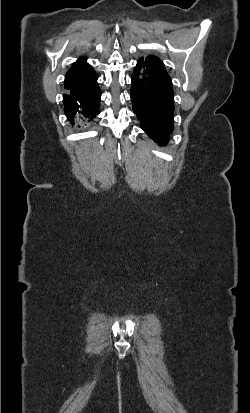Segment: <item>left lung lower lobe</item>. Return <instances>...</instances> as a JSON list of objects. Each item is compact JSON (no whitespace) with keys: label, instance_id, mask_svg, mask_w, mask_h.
<instances>
[{"label":"left lung lower lobe","instance_id":"left-lung-lower-lobe-1","mask_svg":"<svg viewBox=\"0 0 250 413\" xmlns=\"http://www.w3.org/2000/svg\"><path fill=\"white\" fill-rule=\"evenodd\" d=\"M130 96L141 128L159 145H166L173 130L174 100L172 81L159 58L137 61Z\"/></svg>","mask_w":250,"mask_h":413}]
</instances>
